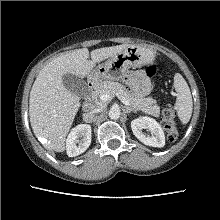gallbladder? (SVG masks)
<instances>
[{"label":"gallbladder","instance_id":"bac80fb5","mask_svg":"<svg viewBox=\"0 0 220 220\" xmlns=\"http://www.w3.org/2000/svg\"><path fill=\"white\" fill-rule=\"evenodd\" d=\"M63 84L72 93L81 98H85L88 94V86L86 82L73 74H66L63 76Z\"/></svg>","mask_w":220,"mask_h":220}]
</instances>
